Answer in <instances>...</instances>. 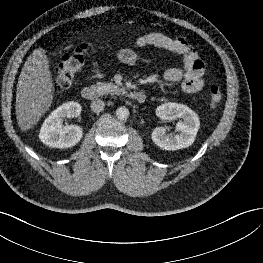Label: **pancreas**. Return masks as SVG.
Wrapping results in <instances>:
<instances>
[{
    "mask_svg": "<svg viewBox=\"0 0 263 263\" xmlns=\"http://www.w3.org/2000/svg\"><path fill=\"white\" fill-rule=\"evenodd\" d=\"M94 87L97 90L98 95L103 96L107 94L115 95L122 92V89L113 83L97 82Z\"/></svg>",
    "mask_w": 263,
    "mask_h": 263,
    "instance_id": "pancreas-1",
    "label": "pancreas"
}]
</instances>
